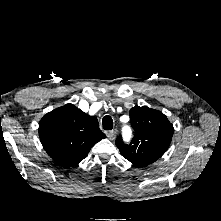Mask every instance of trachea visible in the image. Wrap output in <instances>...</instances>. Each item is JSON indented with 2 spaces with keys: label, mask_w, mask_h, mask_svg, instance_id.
I'll return each instance as SVG.
<instances>
[{
  "label": "trachea",
  "mask_w": 221,
  "mask_h": 221,
  "mask_svg": "<svg viewBox=\"0 0 221 221\" xmlns=\"http://www.w3.org/2000/svg\"><path fill=\"white\" fill-rule=\"evenodd\" d=\"M102 125L104 130H112L113 128V120L110 116H105L102 119Z\"/></svg>",
  "instance_id": "1"
}]
</instances>
